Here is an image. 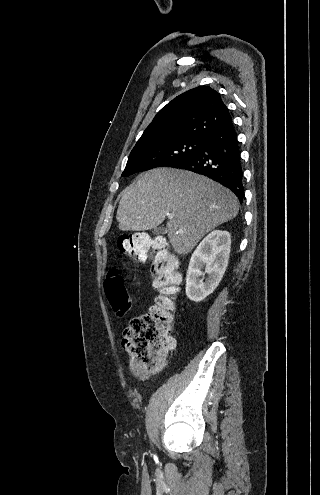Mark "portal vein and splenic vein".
Returning <instances> with one entry per match:
<instances>
[{
  "label": "portal vein and splenic vein",
  "mask_w": 320,
  "mask_h": 495,
  "mask_svg": "<svg viewBox=\"0 0 320 495\" xmlns=\"http://www.w3.org/2000/svg\"><path fill=\"white\" fill-rule=\"evenodd\" d=\"M167 216H168V218H173V214H171V213H168Z\"/></svg>",
  "instance_id": "1"
}]
</instances>
